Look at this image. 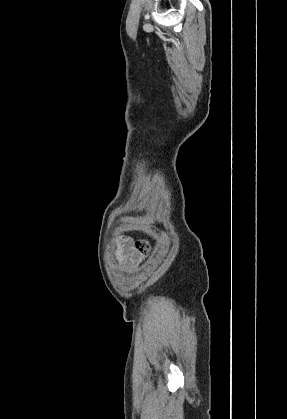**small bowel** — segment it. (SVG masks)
Here are the masks:
<instances>
[{
  "label": "small bowel",
  "instance_id": "small-bowel-1",
  "mask_svg": "<svg viewBox=\"0 0 287 419\" xmlns=\"http://www.w3.org/2000/svg\"><path fill=\"white\" fill-rule=\"evenodd\" d=\"M115 258L119 265L127 272L134 271L141 262L140 257L130 246V241L123 237L118 239Z\"/></svg>",
  "mask_w": 287,
  "mask_h": 419
}]
</instances>
